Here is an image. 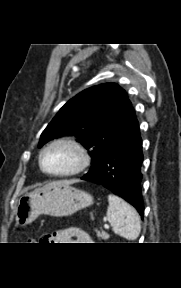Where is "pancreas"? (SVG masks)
Masks as SVG:
<instances>
[{
  "label": "pancreas",
  "mask_w": 181,
  "mask_h": 288,
  "mask_svg": "<svg viewBox=\"0 0 181 288\" xmlns=\"http://www.w3.org/2000/svg\"><path fill=\"white\" fill-rule=\"evenodd\" d=\"M96 232H97V236H98L100 239L106 240V239L109 238V235H108L105 231H103V230H101V231L96 230Z\"/></svg>",
  "instance_id": "pancreas-1"
}]
</instances>
